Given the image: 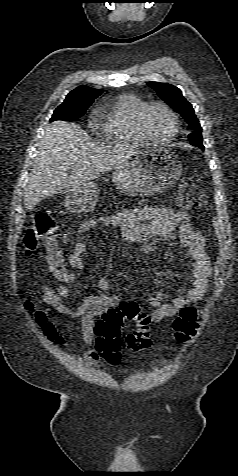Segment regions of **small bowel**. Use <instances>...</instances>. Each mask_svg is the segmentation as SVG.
<instances>
[{
    "mask_svg": "<svg viewBox=\"0 0 238 476\" xmlns=\"http://www.w3.org/2000/svg\"><path fill=\"white\" fill-rule=\"evenodd\" d=\"M118 227L124 239L140 247L143 256L152 252L155 247L153 241L177 233L181 245L186 250L187 259L191 265V279L187 292L176 297L171 303L162 301V293L150 298V304L155 308L150 314V322L158 324L171 318L182 308L199 301L205 294L211 275L209 255L206 250L204 238L193 230L189 224V216L183 211H172L160 207H135L123 210L116 214L94 217L83 221L74 240L75 249L68 254L70 265L81 272L86 270L83 253L87 248V234L95 229ZM145 269L148 262L142 260ZM68 279L57 280L46 285L43 289V299L56 311L79 319L83 342L90 346L96 335V324L101 316L110 308L117 307L121 301L119 297L110 294L111 283L101 279L98 283L99 293L85 296L77 306H70L64 299L70 297V291L65 282L71 275L65 271ZM98 319V320H97ZM100 353L89 350L83 355L88 364H96L100 360Z\"/></svg>",
    "mask_w": 238,
    "mask_h": 476,
    "instance_id": "small-bowel-1",
    "label": "small bowel"
}]
</instances>
